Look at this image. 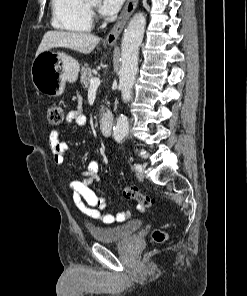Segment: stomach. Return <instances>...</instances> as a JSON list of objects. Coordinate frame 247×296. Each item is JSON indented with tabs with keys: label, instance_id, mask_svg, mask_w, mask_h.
<instances>
[{
	"label": "stomach",
	"instance_id": "obj_1",
	"mask_svg": "<svg viewBox=\"0 0 247 296\" xmlns=\"http://www.w3.org/2000/svg\"><path fill=\"white\" fill-rule=\"evenodd\" d=\"M80 65L73 57L60 52L44 51L31 66L32 83L37 91L49 97L60 96L66 82H75Z\"/></svg>",
	"mask_w": 247,
	"mask_h": 296
}]
</instances>
